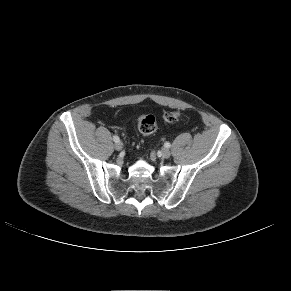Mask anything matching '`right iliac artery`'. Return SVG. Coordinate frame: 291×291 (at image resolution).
I'll return each mask as SVG.
<instances>
[{
  "label": "right iliac artery",
  "instance_id": "82829eb1",
  "mask_svg": "<svg viewBox=\"0 0 291 291\" xmlns=\"http://www.w3.org/2000/svg\"><path fill=\"white\" fill-rule=\"evenodd\" d=\"M113 140L115 141V142H119V137L118 136H113Z\"/></svg>",
  "mask_w": 291,
  "mask_h": 291
}]
</instances>
